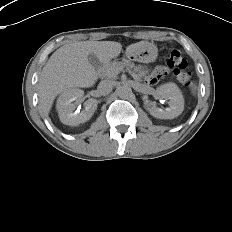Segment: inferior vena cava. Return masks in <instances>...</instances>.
<instances>
[{
    "instance_id": "obj_1",
    "label": "inferior vena cava",
    "mask_w": 232,
    "mask_h": 232,
    "mask_svg": "<svg viewBox=\"0 0 232 232\" xmlns=\"http://www.w3.org/2000/svg\"><path fill=\"white\" fill-rule=\"evenodd\" d=\"M114 87V82L111 80H103L98 84L97 90L100 95H108Z\"/></svg>"
}]
</instances>
